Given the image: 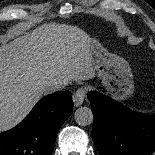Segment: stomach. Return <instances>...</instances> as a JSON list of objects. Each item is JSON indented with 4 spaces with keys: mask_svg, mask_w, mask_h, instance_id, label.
Listing matches in <instances>:
<instances>
[{
    "mask_svg": "<svg viewBox=\"0 0 155 155\" xmlns=\"http://www.w3.org/2000/svg\"><path fill=\"white\" fill-rule=\"evenodd\" d=\"M88 48L93 67L106 92L118 101L128 99L134 91L133 75L128 62L108 52L98 40L90 37Z\"/></svg>",
    "mask_w": 155,
    "mask_h": 155,
    "instance_id": "obj_1",
    "label": "stomach"
}]
</instances>
